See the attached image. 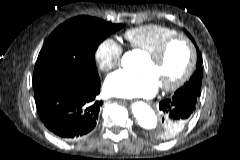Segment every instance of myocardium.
<instances>
[{
	"instance_id": "myocardium-1",
	"label": "myocardium",
	"mask_w": 240,
	"mask_h": 160,
	"mask_svg": "<svg viewBox=\"0 0 240 160\" xmlns=\"http://www.w3.org/2000/svg\"><path fill=\"white\" fill-rule=\"evenodd\" d=\"M176 42H182L187 46L189 52V60L183 74L172 84L161 85V89L165 92H174L179 90L184 84L191 78L196 62H197V52L194 43L186 36L177 34L165 39L156 50L148 53V56L154 62H161L165 57L168 49Z\"/></svg>"
}]
</instances>
